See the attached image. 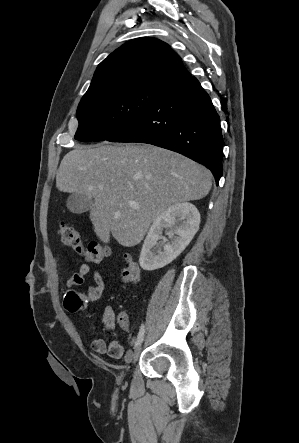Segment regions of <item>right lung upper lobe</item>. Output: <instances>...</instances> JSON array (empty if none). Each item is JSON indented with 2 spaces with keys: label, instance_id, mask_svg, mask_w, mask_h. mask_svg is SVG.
Instances as JSON below:
<instances>
[{
  "label": "right lung upper lobe",
  "instance_id": "right-lung-upper-lobe-1",
  "mask_svg": "<svg viewBox=\"0 0 299 443\" xmlns=\"http://www.w3.org/2000/svg\"><path fill=\"white\" fill-rule=\"evenodd\" d=\"M191 74L165 42L150 37L126 42L97 67L83 98L100 92L147 87L166 90Z\"/></svg>",
  "mask_w": 299,
  "mask_h": 443
}]
</instances>
